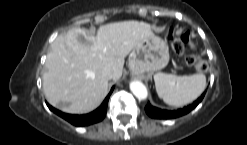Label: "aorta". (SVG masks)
<instances>
[{"label":"aorta","mask_w":247,"mask_h":145,"mask_svg":"<svg viewBox=\"0 0 247 145\" xmlns=\"http://www.w3.org/2000/svg\"><path fill=\"white\" fill-rule=\"evenodd\" d=\"M130 90L139 100H144L148 96L147 88L138 80H134L130 83Z\"/></svg>","instance_id":"obj_1"}]
</instances>
